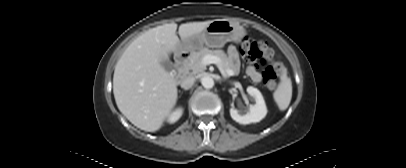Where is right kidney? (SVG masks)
I'll use <instances>...</instances> for the list:
<instances>
[{
  "label": "right kidney",
  "instance_id": "right-kidney-1",
  "mask_svg": "<svg viewBox=\"0 0 406 168\" xmlns=\"http://www.w3.org/2000/svg\"><path fill=\"white\" fill-rule=\"evenodd\" d=\"M181 115H182V109L178 108L173 113H171V115L168 118V121L170 123H174L181 117Z\"/></svg>",
  "mask_w": 406,
  "mask_h": 168
}]
</instances>
